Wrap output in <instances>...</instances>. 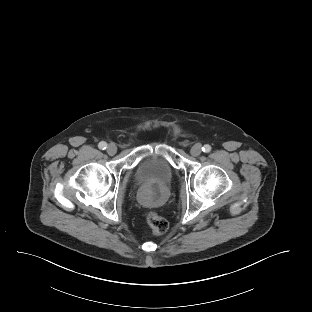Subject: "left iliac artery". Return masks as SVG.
Here are the masks:
<instances>
[{
    "instance_id": "44dca946",
    "label": "left iliac artery",
    "mask_w": 312,
    "mask_h": 312,
    "mask_svg": "<svg viewBox=\"0 0 312 312\" xmlns=\"http://www.w3.org/2000/svg\"><path fill=\"white\" fill-rule=\"evenodd\" d=\"M202 151L205 152V153H208L211 151V146L206 144L202 147Z\"/></svg>"
}]
</instances>
